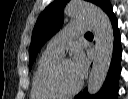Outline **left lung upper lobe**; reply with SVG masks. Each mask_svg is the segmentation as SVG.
<instances>
[{
  "label": "left lung upper lobe",
  "mask_w": 128,
  "mask_h": 99,
  "mask_svg": "<svg viewBox=\"0 0 128 99\" xmlns=\"http://www.w3.org/2000/svg\"><path fill=\"white\" fill-rule=\"evenodd\" d=\"M69 0H55L39 15L32 32L29 50V68L31 69L35 57L44 45L62 26L63 10ZM100 6L103 0H90Z\"/></svg>",
  "instance_id": "obj_1"
}]
</instances>
